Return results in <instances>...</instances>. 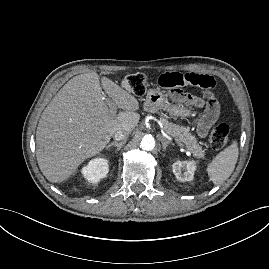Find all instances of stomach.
I'll list each match as a JSON object with an SVG mask.
<instances>
[{"instance_id": "stomach-1", "label": "stomach", "mask_w": 269, "mask_h": 269, "mask_svg": "<svg viewBox=\"0 0 269 269\" xmlns=\"http://www.w3.org/2000/svg\"><path fill=\"white\" fill-rule=\"evenodd\" d=\"M163 109L174 117L185 118L192 114V111L181 104L168 102L166 95L160 89H150L144 102V110L147 112H156Z\"/></svg>"}]
</instances>
